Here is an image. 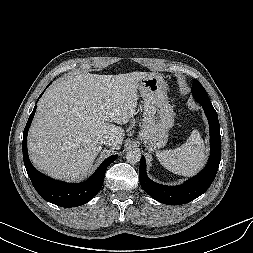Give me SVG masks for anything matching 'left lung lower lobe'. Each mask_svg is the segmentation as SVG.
Listing matches in <instances>:
<instances>
[{
	"mask_svg": "<svg viewBox=\"0 0 253 253\" xmlns=\"http://www.w3.org/2000/svg\"><path fill=\"white\" fill-rule=\"evenodd\" d=\"M209 122L210 158L197 176L179 186H164L153 182L147 177L146 163L140 160L139 180L143 190L155 200L168 204L179 205L188 203L202 195L213 182L221 160V136L217 112L211 105H202Z\"/></svg>",
	"mask_w": 253,
	"mask_h": 253,
	"instance_id": "left-lung-lower-lobe-1",
	"label": "left lung lower lobe"
}]
</instances>
